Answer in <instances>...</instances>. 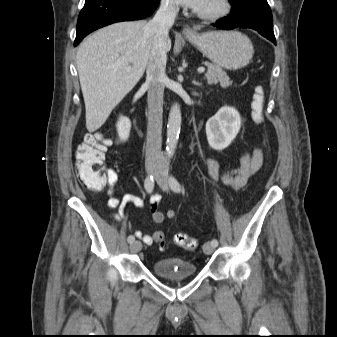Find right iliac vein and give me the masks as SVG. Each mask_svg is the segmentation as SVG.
Masks as SVG:
<instances>
[{
	"mask_svg": "<svg viewBox=\"0 0 337 337\" xmlns=\"http://www.w3.org/2000/svg\"><path fill=\"white\" fill-rule=\"evenodd\" d=\"M147 170L149 173L154 174L157 171V166L154 163H150L147 166ZM141 242L140 241H134L130 244V250L132 253H137L141 250Z\"/></svg>",
	"mask_w": 337,
	"mask_h": 337,
	"instance_id": "obj_1",
	"label": "right iliac vein"
}]
</instances>
